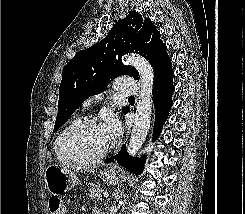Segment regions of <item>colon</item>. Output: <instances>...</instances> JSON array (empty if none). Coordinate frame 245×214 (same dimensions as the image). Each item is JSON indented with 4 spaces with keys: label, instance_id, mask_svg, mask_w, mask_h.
<instances>
[{
    "label": "colon",
    "instance_id": "colon-1",
    "mask_svg": "<svg viewBox=\"0 0 245 214\" xmlns=\"http://www.w3.org/2000/svg\"><path fill=\"white\" fill-rule=\"evenodd\" d=\"M49 208L52 214H65V211L61 206V202L57 198H51L49 200Z\"/></svg>",
    "mask_w": 245,
    "mask_h": 214
}]
</instances>
